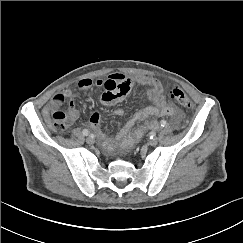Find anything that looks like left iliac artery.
I'll use <instances>...</instances> for the list:
<instances>
[{"mask_svg":"<svg viewBox=\"0 0 243 243\" xmlns=\"http://www.w3.org/2000/svg\"><path fill=\"white\" fill-rule=\"evenodd\" d=\"M160 125L162 127H165L167 125V122L165 120H161ZM153 138H155V133H151L150 139H153Z\"/></svg>","mask_w":243,"mask_h":243,"instance_id":"obj_1","label":"left iliac artery"}]
</instances>
